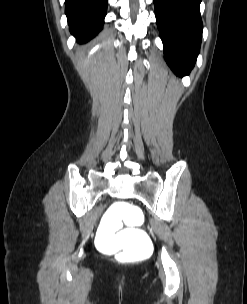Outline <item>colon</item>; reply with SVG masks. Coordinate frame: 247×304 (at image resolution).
I'll return each mask as SVG.
<instances>
[{"label": "colon", "instance_id": "obj_1", "mask_svg": "<svg viewBox=\"0 0 247 304\" xmlns=\"http://www.w3.org/2000/svg\"><path fill=\"white\" fill-rule=\"evenodd\" d=\"M94 235L99 253H120V259H151L155 241L146 229L139 202H113L104 210Z\"/></svg>", "mask_w": 247, "mask_h": 304}]
</instances>
